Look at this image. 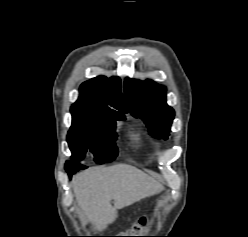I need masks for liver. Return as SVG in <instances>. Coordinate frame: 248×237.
<instances>
[{
	"label": "liver",
	"mask_w": 248,
	"mask_h": 237,
	"mask_svg": "<svg viewBox=\"0 0 248 237\" xmlns=\"http://www.w3.org/2000/svg\"><path fill=\"white\" fill-rule=\"evenodd\" d=\"M72 188L82 217L98 231L115 221L118 209L162 190L156 180L129 164L81 172L73 178Z\"/></svg>",
	"instance_id": "obj_1"
}]
</instances>
